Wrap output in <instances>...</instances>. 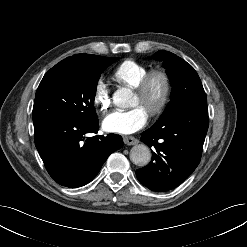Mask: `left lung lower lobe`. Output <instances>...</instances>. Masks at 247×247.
Wrapping results in <instances>:
<instances>
[{
    "instance_id": "1",
    "label": "left lung lower lobe",
    "mask_w": 247,
    "mask_h": 247,
    "mask_svg": "<svg viewBox=\"0 0 247 247\" xmlns=\"http://www.w3.org/2000/svg\"><path fill=\"white\" fill-rule=\"evenodd\" d=\"M208 124L207 104L157 120L141 134L140 140L153 150L150 163L136 170L138 180L153 191L181 184L200 162Z\"/></svg>"
}]
</instances>
